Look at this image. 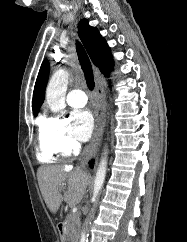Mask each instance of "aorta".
Instances as JSON below:
<instances>
[{"mask_svg":"<svg viewBox=\"0 0 187 242\" xmlns=\"http://www.w3.org/2000/svg\"><path fill=\"white\" fill-rule=\"evenodd\" d=\"M69 81V72L65 69H58L51 77L46 88V101L50 110L54 113L61 112L65 106V94ZM107 171V153L104 152L101 157L95 179L93 201L98 197L106 177ZM88 235L84 232L81 242H88Z\"/></svg>","mask_w":187,"mask_h":242,"instance_id":"obj_1","label":"aorta"}]
</instances>
